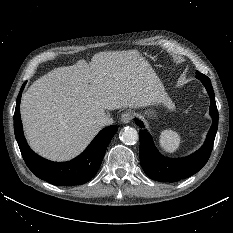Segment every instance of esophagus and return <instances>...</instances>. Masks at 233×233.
<instances>
[{"instance_id": "esophagus-1", "label": "esophagus", "mask_w": 233, "mask_h": 233, "mask_svg": "<svg viewBox=\"0 0 233 233\" xmlns=\"http://www.w3.org/2000/svg\"><path fill=\"white\" fill-rule=\"evenodd\" d=\"M133 119V113L131 111H126L121 116V121L123 123H129Z\"/></svg>"}]
</instances>
